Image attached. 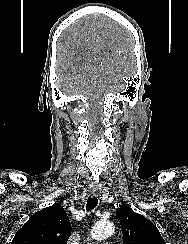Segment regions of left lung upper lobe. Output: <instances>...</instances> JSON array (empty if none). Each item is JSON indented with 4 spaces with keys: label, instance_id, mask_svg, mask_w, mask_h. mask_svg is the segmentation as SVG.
Listing matches in <instances>:
<instances>
[{
    "label": "left lung upper lobe",
    "instance_id": "1",
    "mask_svg": "<svg viewBox=\"0 0 188 244\" xmlns=\"http://www.w3.org/2000/svg\"><path fill=\"white\" fill-rule=\"evenodd\" d=\"M124 244H166L157 227L143 215L122 205L116 211Z\"/></svg>",
    "mask_w": 188,
    "mask_h": 244
}]
</instances>
